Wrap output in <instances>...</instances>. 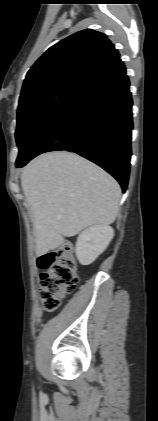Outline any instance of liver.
<instances>
[{
  "instance_id": "1",
  "label": "liver",
  "mask_w": 158,
  "mask_h": 421,
  "mask_svg": "<svg viewBox=\"0 0 158 421\" xmlns=\"http://www.w3.org/2000/svg\"><path fill=\"white\" fill-rule=\"evenodd\" d=\"M21 185L33 217L36 253L58 248L89 226L115 221L117 181L92 162L66 151L49 152L24 169Z\"/></svg>"
}]
</instances>
